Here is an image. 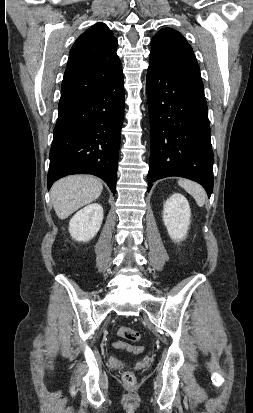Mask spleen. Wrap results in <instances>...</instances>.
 <instances>
[{
    "mask_svg": "<svg viewBox=\"0 0 253 413\" xmlns=\"http://www.w3.org/2000/svg\"><path fill=\"white\" fill-rule=\"evenodd\" d=\"M179 186H181L186 192H188L195 199L198 206L203 207L206 200V192L201 185L196 182L187 179H180L178 181Z\"/></svg>",
    "mask_w": 253,
    "mask_h": 413,
    "instance_id": "spleen-1",
    "label": "spleen"
}]
</instances>
